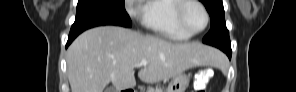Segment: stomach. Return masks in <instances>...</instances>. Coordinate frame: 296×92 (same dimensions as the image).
Here are the masks:
<instances>
[{"mask_svg":"<svg viewBox=\"0 0 296 92\" xmlns=\"http://www.w3.org/2000/svg\"><path fill=\"white\" fill-rule=\"evenodd\" d=\"M189 77L183 73L174 77L170 82L166 92H185L189 85Z\"/></svg>","mask_w":296,"mask_h":92,"instance_id":"1","label":"stomach"}]
</instances>
